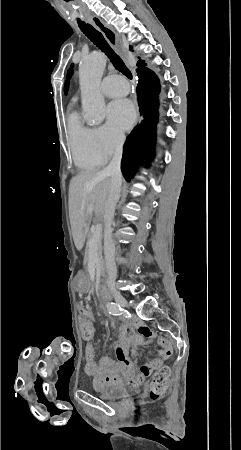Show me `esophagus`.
I'll return each instance as SVG.
<instances>
[{"mask_svg": "<svg viewBox=\"0 0 241 450\" xmlns=\"http://www.w3.org/2000/svg\"><path fill=\"white\" fill-rule=\"evenodd\" d=\"M87 21L89 23H92V25H94V27H96L97 30H99V32H101L104 35L107 42L112 47H114L115 49L118 47L119 36L112 28H110L108 25H106L99 17L94 15V16L89 17V19ZM135 107H136V111L138 114V119H137L136 123H139L140 115H139V107H138L137 101H135Z\"/></svg>", "mask_w": 241, "mask_h": 450, "instance_id": "34e87169", "label": "esophagus"}]
</instances>
